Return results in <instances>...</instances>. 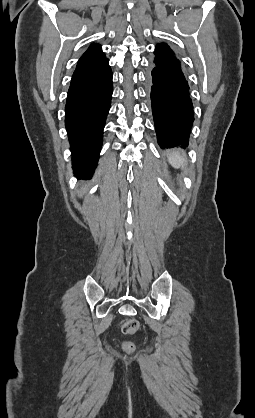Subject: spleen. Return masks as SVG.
Segmentation results:
<instances>
[{"instance_id": "1", "label": "spleen", "mask_w": 255, "mask_h": 418, "mask_svg": "<svg viewBox=\"0 0 255 418\" xmlns=\"http://www.w3.org/2000/svg\"><path fill=\"white\" fill-rule=\"evenodd\" d=\"M168 161L175 169L184 168L186 166L185 154L178 150L169 153Z\"/></svg>"}]
</instances>
